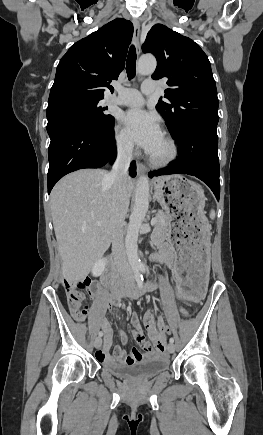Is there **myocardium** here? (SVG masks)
<instances>
[{
  "label": "myocardium",
  "mask_w": 263,
  "mask_h": 435,
  "mask_svg": "<svg viewBox=\"0 0 263 435\" xmlns=\"http://www.w3.org/2000/svg\"><path fill=\"white\" fill-rule=\"evenodd\" d=\"M169 145V153L163 158H157L152 154H149V162L154 167H165L174 162L178 157V146L176 141L169 135L163 137Z\"/></svg>",
  "instance_id": "f54148a6"
}]
</instances>
